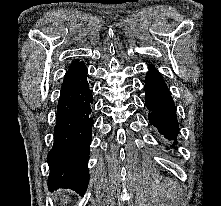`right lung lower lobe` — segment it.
<instances>
[{
	"instance_id": "obj_1",
	"label": "right lung lower lobe",
	"mask_w": 221,
	"mask_h": 206,
	"mask_svg": "<svg viewBox=\"0 0 221 206\" xmlns=\"http://www.w3.org/2000/svg\"><path fill=\"white\" fill-rule=\"evenodd\" d=\"M92 90L87 68L80 62L66 72L57 107L54 144L47 161L48 189L70 188L81 196L86 192L93 118Z\"/></svg>"
}]
</instances>
